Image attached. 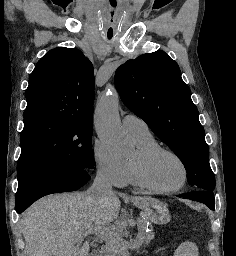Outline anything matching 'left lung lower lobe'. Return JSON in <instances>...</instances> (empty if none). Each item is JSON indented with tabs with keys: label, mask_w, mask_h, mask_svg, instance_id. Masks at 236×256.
Here are the masks:
<instances>
[{
	"label": "left lung lower lobe",
	"mask_w": 236,
	"mask_h": 256,
	"mask_svg": "<svg viewBox=\"0 0 236 256\" xmlns=\"http://www.w3.org/2000/svg\"><path fill=\"white\" fill-rule=\"evenodd\" d=\"M178 197H185L190 200L198 201L207 205L211 210L215 209V200L213 196L207 191H197L178 195Z\"/></svg>",
	"instance_id": "obj_1"
}]
</instances>
